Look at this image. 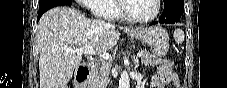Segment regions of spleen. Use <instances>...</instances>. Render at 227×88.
<instances>
[{"label":"spleen","mask_w":227,"mask_h":88,"mask_svg":"<svg viewBox=\"0 0 227 88\" xmlns=\"http://www.w3.org/2000/svg\"><path fill=\"white\" fill-rule=\"evenodd\" d=\"M174 40L177 44H182L185 39V34L182 29H176L173 33Z\"/></svg>","instance_id":"3e777b00"}]
</instances>
